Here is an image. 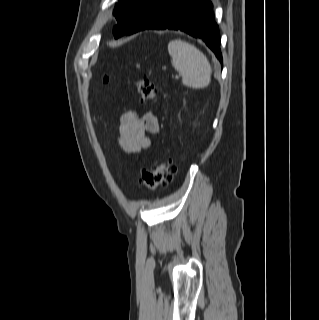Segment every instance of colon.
<instances>
[{
	"mask_svg": "<svg viewBox=\"0 0 319 320\" xmlns=\"http://www.w3.org/2000/svg\"><path fill=\"white\" fill-rule=\"evenodd\" d=\"M105 79L107 80L108 78L106 77ZM137 90L143 100H151L156 95L155 85L149 78L138 80ZM176 170V164L172 160L154 163L143 171L139 185L148 190L164 186L172 180Z\"/></svg>",
	"mask_w": 319,
	"mask_h": 320,
	"instance_id": "obj_1",
	"label": "colon"
}]
</instances>
